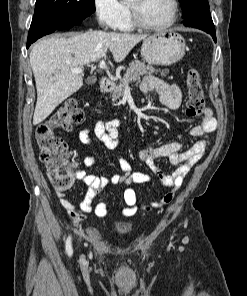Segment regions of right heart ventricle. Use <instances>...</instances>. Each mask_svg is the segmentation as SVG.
<instances>
[{
    "label": "right heart ventricle",
    "mask_w": 247,
    "mask_h": 296,
    "mask_svg": "<svg viewBox=\"0 0 247 296\" xmlns=\"http://www.w3.org/2000/svg\"><path fill=\"white\" fill-rule=\"evenodd\" d=\"M126 13L124 16V19L120 23V25L117 27L121 31H130L134 28V25L131 21L130 12L126 5H124Z\"/></svg>",
    "instance_id": "right-heart-ventricle-1"
}]
</instances>
